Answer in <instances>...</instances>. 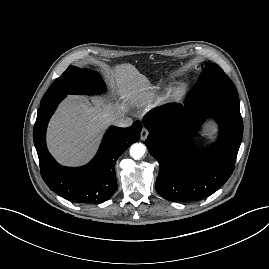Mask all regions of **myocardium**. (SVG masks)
<instances>
[{
    "label": "myocardium",
    "instance_id": "1",
    "mask_svg": "<svg viewBox=\"0 0 269 269\" xmlns=\"http://www.w3.org/2000/svg\"><path fill=\"white\" fill-rule=\"evenodd\" d=\"M182 91H183V86L181 84H177L170 90L169 96L177 97L182 93Z\"/></svg>",
    "mask_w": 269,
    "mask_h": 269
}]
</instances>
